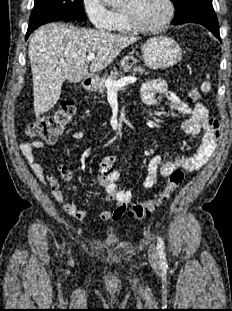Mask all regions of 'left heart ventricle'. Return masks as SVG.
Listing matches in <instances>:
<instances>
[{
    "mask_svg": "<svg viewBox=\"0 0 232 311\" xmlns=\"http://www.w3.org/2000/svg\"><path fill=\"white\" fill-rule=\"evenodd\" d=\"M123 9L129 10L135 21L142 26H154L165 16L164 0H125Z\"/></svg>",
    "mask_w": 232,
    "mask_h": 311,
    "instance_id": "1",
    "label": "left heart ventricle"
}]
</instances>
